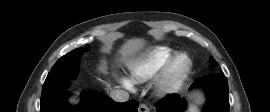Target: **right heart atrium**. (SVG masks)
Instances as JSON below:
<instances>
[{
	"label": "right heart atrium",
	"mask_w": 270,
	"mask_h": 112,
	"mask_svg": "<svg viewBox=\"0 0 270 112\" xmlns=\"http://www.w3.org/2000/svg\"><path fill=\"white\" fill-rule=\"evenodd\" d=\"M121 82H122V84H123L124 86H126V87H128V88H133V83H132V81H131L129 78H127V77H122V78H121Z\"/></svg>",
	"instance_id": "1"
}]
</instances>
